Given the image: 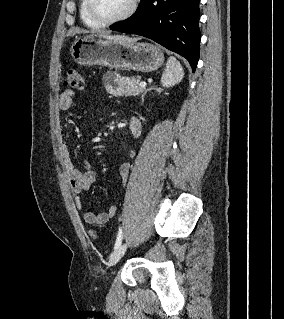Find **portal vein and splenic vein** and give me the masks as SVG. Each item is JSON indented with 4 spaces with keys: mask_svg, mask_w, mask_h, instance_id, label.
Segmentation results:
<instances>
[{
    "mask_svg": "<svg viewBox=\"0 0 284 319\" xmlns=\"http://www.w3.org/2000/svg\"><path fill=\"white\" fill-rule=\"evenodd\" d=\"M138 85H139V87H141V88H145V87L147 86V83L144 82V81H141Z\"/></svg>",
    "mask_w": 284,
    "mask_h": 319,
    "instance_id": "18ae733b",
    "label": "portal vein and splenic vein"
}]
</instances>
